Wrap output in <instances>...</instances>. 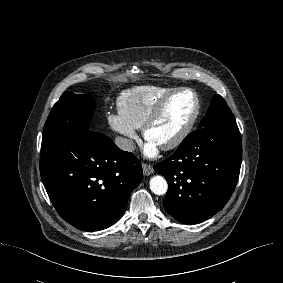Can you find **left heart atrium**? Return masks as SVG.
<instances>
[{"label": "left heart atrium", "instance_id": "obj_1", "mask_svg": "<svg viewBox=\"0 0 283 283\" xmlns=\"http://www.w3.org/2000/svg\"><path fill=\"white\" fill-rule=\"evenodd\" d=\"M144 152L148 157H155L158 153V145L148 140L145 145Z\"/></svg>", "mask_w": 283, "mask_h": 283}]
</instances>
